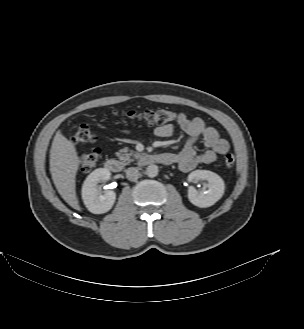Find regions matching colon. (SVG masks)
<instances>
[{
	"instance_id": "5ec220e1",
	"label": "colon",
	"mask_w": 304,
	"mask_h": 329,
	"mask_svg": "<svg viewBox=\"0 0 304 329\" xmlns=\"http://www.w3.org/2000/svg\"><path fill=\"white\" fill-rule=\"evenodd\" d=\"M123 118H127L132 121H137L146 124L147 126H161L171 121H175L178 118V113L168 110H146V111H134L127 110L115 113ZM73 140L75 143H95L97 137L92 129L86 125H80L74 133ZM101 156V149L99 147L92 148L89 152L85 153L79 162V169L83 173L91 172L97 165V162ZM235 162V157L232 153H227L224 156V163L226 166H232Z\"/></svg>"
}]
</instances>
